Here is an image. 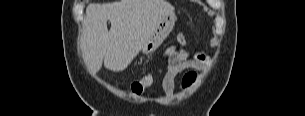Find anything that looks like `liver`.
Here are the masks:
<instances>
[{"label":"liver","mask_w":305,"mask_h":116,"mask_svg":"<svg viewBox=\"0 0 305 116\" xmlns=\"http://www.w3.org/2000/svg\"><path fill=\"white\" fill-rule=\"evenodd\" d=\"M174 13L166 0H121L88 5L81 37L84 63L92 74L105 68L125 70L161 19ZM111 22L108 31L107 21Z\"/></svg>","instance_id":"obj_1"}]
</instances>
